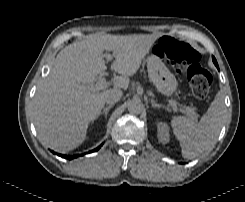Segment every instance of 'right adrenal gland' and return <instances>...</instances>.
<instances>
[{
	"label": "right adrenal gland",
	"mask_w": 245,
	"mask_h": 202,
	"mask_svg": "<svg viewBox=\"0 0 245 202\" xmlns=\"http://www.w3.org/2000/svg\"><path fill=\"white\" fill-rule=\"evenodd\" d=\"M112 106L113 104H109L105 108H103L97 118H99L101 115H104V117L107 118L108 111L110 110V108H112Z\"/></svg>",
	"instance_id": "2a0ac1e0"
}]
</instances>
